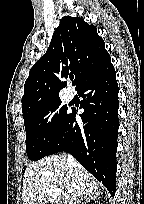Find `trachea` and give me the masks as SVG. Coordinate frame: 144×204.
<instances>
[{"mask_svg": "<svg viewBox=\"0 0 144 204\" xmlns=\"http://www.w3.org/2000/svg\"><path fill=\"white\" fill-rule=\"evenodd\" d=\"M74 77H70L71 80H73Z\"/></svg>", "mask_w": 144, "mask_h": 204, "instance_id": "obj_1", "label": "trachea"}]
</instances>
